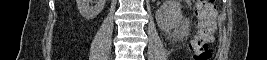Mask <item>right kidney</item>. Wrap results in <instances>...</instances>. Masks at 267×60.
I'll use <instances>...</instances> for the list:
<instances>
[{
  "label": "right kidney",
  "mask_w": 267,
  "mask_h": 60,
  "mask_svg": "<svg viewBox=\"0 0 267 60\" xmlns=\"http://www.w3.org/2000/svg\"><path fill=\"white\" fill-rule=\"evenodd\" d=\"M77 7L80 12V14L88 19H94L97 17V15L102 11L105 5V0H95V5H90L89 2H92V0H76Z\"/></svg>",
  "instance_id": "obj_1"
}]
</instances>
